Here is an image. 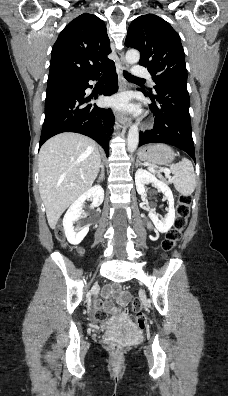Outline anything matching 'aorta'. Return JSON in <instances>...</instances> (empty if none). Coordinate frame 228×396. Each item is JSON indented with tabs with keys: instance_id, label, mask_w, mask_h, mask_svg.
Instances as JSON below:
<instances>
[{
	"instance_id": "762f6f07",
	"label": "aorta",
	"mask_w": 228,
	"mask_h": 396,
	"mask_svg": "<svg viewBox=\"0 0 228 396\" xmlns=\"http://www.w3.org/2000/svg\"><path fill=\"white\" fill-rule=\"evenodd\" d=\"M126 61L129 64H135L140 59V53L135 49H130L126 53ZM139 143V132L138 127L136 125H132L128 132L127 137V149L129 152H134Z\"/></svg>"
}]
</instances>
